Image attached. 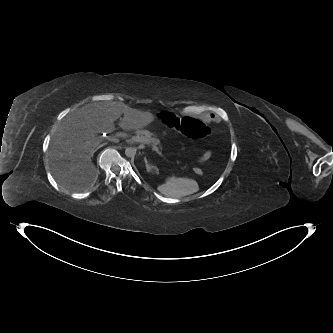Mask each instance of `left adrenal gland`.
<instances>
[{"mask_svg":"<svg viewBox=\"0 0 333 333\" xmlns=\"http://www.w3.org/2000/svg\"><path fill=\"white\" fill-rule=\"evenodd\" d=\"M144 162H145V166H146L147 172H152V170L154 169V166H153V165H150V164L148 163L146 157H144Z\"/></svg>","mask_w":333,"mask_h":333,"instance_id":"1","label":"left adrenal gland"}]
</instances>
